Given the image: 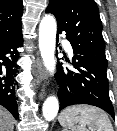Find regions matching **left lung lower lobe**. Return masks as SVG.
Returning a JSON list of instances; mask_svg holds the SVG:
<instances>
[{"label":"left lung lower lobe","mask_w":117,"mask_h":131,"mask_svg":"<svg viewBox=\"0 0 117 131\" xmlns=\"http://www.w3.org/2000/svg\"><path fill=\"white\" fill-rule=\"evenodd\" d=\"M57 30L58 39L59 34L64 31L60 27ZM73 52V70L59 65L55 75L60 87L59 111L69 105L89 104L105 110L114 119L106 72L79 51L73 49Z\"/></svg>","instance_id":"0a47b994"}]
</instances>
